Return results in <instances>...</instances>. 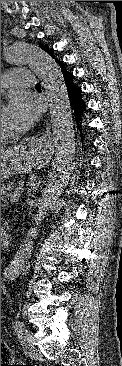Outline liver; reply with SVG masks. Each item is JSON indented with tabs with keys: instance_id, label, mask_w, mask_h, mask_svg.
Masks as SVG:
<instances>
[{
	"instance_id": "obj_1",
	"label": "liver",
	"mask_w": 122,
	"mask_h": 366,
	"mask_svg": "<svg viewBox=\"0 0 122 366\" xmlns=\"http://www.w3.org/2000/svg\"><path fill=\"white\" fill-rule=\"evenodd\" d=\"M9 154L10 151H4L3 149H1V160H5Z\"/></svg>"
}]
</instances>
